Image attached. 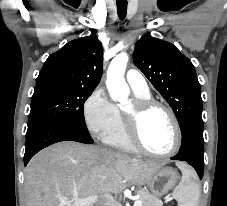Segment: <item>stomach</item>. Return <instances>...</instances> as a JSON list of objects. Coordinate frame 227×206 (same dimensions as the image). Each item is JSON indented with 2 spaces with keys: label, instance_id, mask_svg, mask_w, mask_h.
<instances>
[{
  "label": "stomach",
  "instance_id": "obj_1",
  "mask_svg": "<svg viewBox=\"0 0 227 206\" xmlns=\"http://www.w3.org/2000/svg\"><path fill=\"white\" fill-rule=\"evenodd\" d=\"M179 179V175L172 167H161L150 179L148 185L156 196H163L173 189Z\"/></svg>",
  "mask_w": 227,
  "mask_h": 206
}]
</instances>
